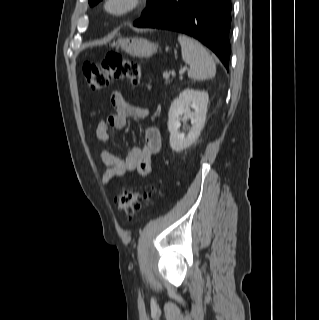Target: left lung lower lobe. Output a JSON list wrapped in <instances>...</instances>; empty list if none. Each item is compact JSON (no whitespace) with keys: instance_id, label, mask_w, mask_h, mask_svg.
<instances>
[{"instance_id":"left-lung-lower-lobe-1","label":"left lung lower lobe","mask_w":319,"mask_h":320,"mask_svg":"<svg viewBox=\"0 0 319 320\" xmlns=\"http://www.w3.org/2000/svg\"><path fill=\"white\" fill-rule=\"evenodd\" d=\"M133 25L190 35L211 49L228 69L231 0H162Z\"/></svg>"}]
</instances>
